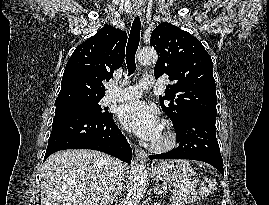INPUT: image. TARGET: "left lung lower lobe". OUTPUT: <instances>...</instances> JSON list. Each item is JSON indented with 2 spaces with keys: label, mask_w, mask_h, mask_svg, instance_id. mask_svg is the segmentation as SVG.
Segmentation results:
<instances>
[{
  "label": "left lung lower lobe",
  "mask_w": 269,
  "mask_h": 205,
  "mask_svg": "<svg viewBox=\"0 0 269 205\" xmlns=\"http://www.w3.org/2000/svg\"><path fill=\"white\" fill-rule=\"evenodd\" d=\"M216 114L200 113L189 116L175 127L179 146L167 153L150 155V159H190L207 162L222 175L223 160L215 131Z\"/></svg>",
  "instance_id": "0a47b994"
}]
</instances>
